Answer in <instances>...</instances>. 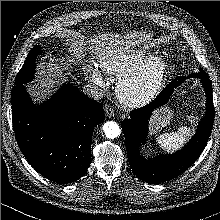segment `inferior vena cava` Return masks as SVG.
Masks as SVG:
<instances>
[{"mask_svg":"<svg viewBox=\"0 0 220 220\" xmlns=\"http://www.w3.org/2000/svg\"><path fill=\"white\" fill-rule=\"evenodd\" d=\"M83 93L94 100H101L103 97L102 90L94 85H85L83 87Z\"/></svg>","mask_w":220,"mask_h":220,"instance_id":"inferior-vena-cava-1","label":"inferior vena cava"}]
</instances>
